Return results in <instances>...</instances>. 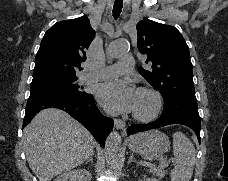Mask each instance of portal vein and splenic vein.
<instances>
[{"label": "portal vein and splenic vein", "mask_w": 228, "mask_h": 181, "mask_svg": "<svg viewBox=\"0 0 228 181\" xmlns=\"http://www.w3.org/2000/svg\"><path fill=\"white\" fill-rule=\"evenodd\" d=\"M171 161H174V159H171ZM162 163H163V166H162V165H161V166H160V165H159V166H158V165H156V166H154V165H153V166H150V167L148 168V169H149V171H148L149 174H154V172L158 169V167H159V168H160V167H161V168L163 167L164 169H165L166 167H168V163H165V161H162ZM146 169H147V168H146Z\"/></svg>", "instance_id": "1"}]
</instances>
